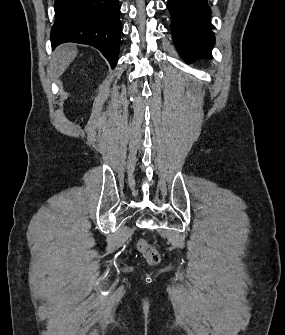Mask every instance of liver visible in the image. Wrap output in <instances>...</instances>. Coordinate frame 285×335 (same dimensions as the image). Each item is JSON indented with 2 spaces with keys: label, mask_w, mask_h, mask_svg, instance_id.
<instances>
[{
  "label": "liver",
  "mask_w": 285,
  "mask_h": 335,
  "mask_svg": "<svg viewBox=\"0 0 285 335\" xmlns=\"http://www.w3.org/2000/svg\"><path fill=\"white\" fill-rule=\"evenodd\" d=\"M76 56L77 48H75L74 44H63V46H59L54 52L50 68L52 74H54V78H60L66 68L75 60Z\"/></svg>",
  "instance_id": "obj_1"
}]
</instances>
